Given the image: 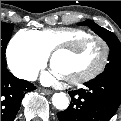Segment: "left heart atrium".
<instances>
[{
  "mask_svg": "<svg viewBox=\"0 0 121 121\" xmlns=\"http://www.w3.org/2000/svg\"><path fill=\"white\" fill-rule=\"evenodd\" d=\"M61 75L53 69L51 73L44 74L42 76V82L44 84H52L55 83Z\"/></svg>",
  "mask_w": 121,
  "mask_h": 121,
  "instance_id": "1",
  "label": "left heart atrium"
}]
</instances>
